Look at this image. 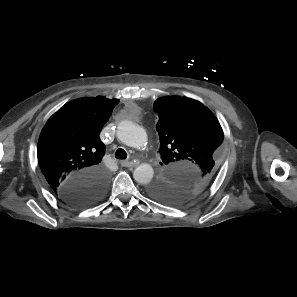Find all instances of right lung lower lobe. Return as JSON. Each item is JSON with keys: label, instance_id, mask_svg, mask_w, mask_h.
Masks as SVG:
<instances>
[{"label": "right lung lower lobe", "instance_id": "1", "mask_svg": "<svg viewBox=\"0 0 297 297\" xmlns=\"http://www.w3.org/2000/svg\"><path fill=\"white\" fill-rule=\"evenodd\" d=\"M108 182V173L105 171L80 173L70 180L57 195L69 205L89 206L104 196Z\"/></svg>", "mask_w": 297, "mask_h": 297}]
</instances>
